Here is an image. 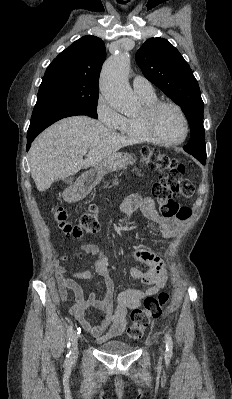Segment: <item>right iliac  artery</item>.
I'll use <instances>...</instances> for the list:
<instances>
[{"label": "right iliac artery", "instance_id": "right-iliac-artery-1", "mask_svg": "<svg viewBox=\"0 0 232 399\" xmlns=\"http://www.w3.org/2000/svg\"><path fill=\"white\" fill-rule=\"evenodd\" d=\"M72 334H73V327L69 326V328L67 330V337H68L67 348H70V346H71L70 341H71ZM65 364L66 365H71L72 364L71 351H68V353L66 355Z\"/></svg>", "mask_w": 232, "mask_h": 399}]
</instances>
